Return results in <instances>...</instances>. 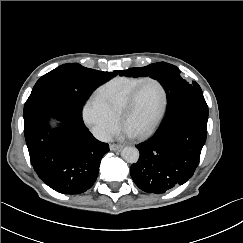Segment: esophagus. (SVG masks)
<instances>
[{
  "label": "esophagus",
  "mask_w": 243,
  "mask_h": 243,
  "mask_svg": "<svg viewBox=\"0 0 243 243\" xmlns=\"http://www.w3.org/2000/svg\"><path fill=\"white\" fill-rule=\"evenodd\" d=\"M123 148V146L118 145V144H111L110 145V150L112 151H120Z\"/></svg>",
  "instance_id": "esophagus-1"
}]
</instances>
